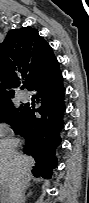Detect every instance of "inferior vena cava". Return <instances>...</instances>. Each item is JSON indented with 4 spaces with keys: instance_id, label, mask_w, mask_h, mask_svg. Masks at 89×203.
<instances>
[{
    "instance_id": "602c4592",
    "label": "inferior vena cava",
    "mask_w": 89,
    "mask_h": 203,
    "mask_svg": "<svg viewBox=\"0 0 89 203\" xmlns=\"http://www.w3.org/2000/svg\"><path fill=\"white\" fill-rule=\"evenodd\" d=\"M25 190V182H23L20 186V190L17 194L16 203H23V192Z\"/></svg>"
}]
</instances>
